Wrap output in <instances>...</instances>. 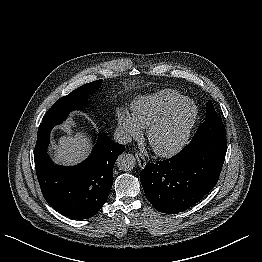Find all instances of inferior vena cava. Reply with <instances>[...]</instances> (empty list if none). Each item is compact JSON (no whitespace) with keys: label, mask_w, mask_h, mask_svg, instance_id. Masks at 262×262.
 <instances>
[{"label":"inferior vena cava","mask_w":262,"mask_h":262,"mask_svg":"<svg viewBox=\"0 0 262 262\" xmlns=\"http://www.w3.org/2000/svg\"><path fill=\"white\" fill-rule=\"evenodd\" d=\"M114 140H115V142H117L119 144L126 145V144H128L132 141V138L124 130L116 129L115 132H114Z\"/></svg>","instance_id":"obj_1"}]
</instances>
